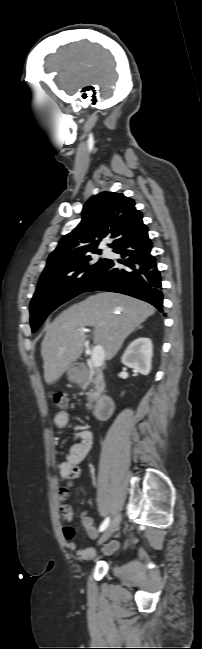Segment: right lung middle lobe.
Wrapping results in <instances>:
<instances>
[{"mask_svg": "<svg viewBox=\"0 0 202 649\" xmlns=\"http://www.w3.org/2000/svg\"><path fill=\"white\" fill-rule=\"evenodd\" d=\"M107 262L108 259L95 261L88 253L78 258L69 271L40 278L30 304L32 332L56 307L85 292Z\"/></svg>", "mask_w": 202, "mask_h": 649, "instance_id": "dd1d6c3e", "label": "right lung middle lobe"}]
</instances>
